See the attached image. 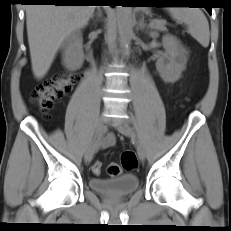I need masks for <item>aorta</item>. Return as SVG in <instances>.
<instances>
[{
    "mask_svg": "<svg viewBox=\"0 0 231 231\" xmlns=\"http://www.w3.org/2000/svg\"><path fill=\"white\" fill-rule=\"evenodd\" d=\"M120 48L124 56L130 53L132 38V8L117 6L116 9Z\"/></svg>",
    "mask_w": 231,
    "mask_h": 231,
    "instance_id": "obj_1",
    "label": "aorta"
}]
</instances>
